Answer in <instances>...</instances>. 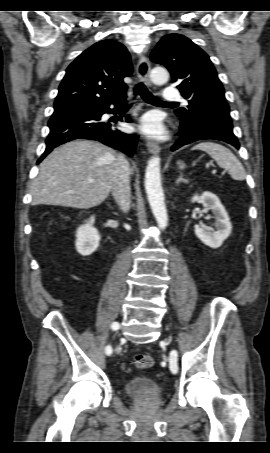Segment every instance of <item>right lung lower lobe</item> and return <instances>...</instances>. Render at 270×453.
Segmentation results:
<instances>
[{"label":"right lung lower lobe","instance_id":"1","mask_svg":"<svg viewBox=\"0 0 270 453\" xmlns=\"http://www.w3.org/2000/svg\"><path fill=\"white\" fill-rule=\"evenodd\" d=\"M125 98L126 95L110 103L54 111L48 123L50 133L46 139V150L38 163L55 147L74 139L96 140L132 156L138 136L125 134L109 122L101 121L103 114L113 111L109 108L111 104L116 106L115 109H122ZM126 120L131 121L129 117Z\"/></svg>","mask_w":270,"mask_h":453}]
</instances>
